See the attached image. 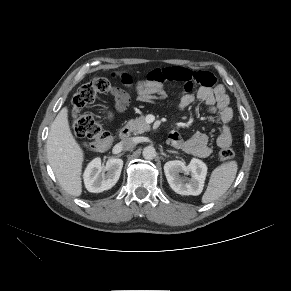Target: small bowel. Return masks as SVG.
<instances>
[{"mask_svg":"<svg viewBox=\"0 0 291 291\" xmlns=\"http://www.w3.org/2000/svg\"><path fill=\"white\" fill-rule=\"evenodd\" d=\"M122 79L131 83V77L122 75ZM175 81L182 83V94L176 104L181 111L195 100L205 104L208 114L217 115L221 122V130L216 139L219 147L229 146L232 142L230 123L233 119V111L229 106V97L221 84H216L214 76L207 71L192 72L184 67L156 68L147 75V80L136 85L138 100L141 102L159 100L166 97L164 83ZM115 100L117 111H124L129 103V94L119 88L111 92ZM171 143L183 151L198 156L207 157L211 153L209 137L207 134L197 132L188 139H183L178 131H172L169 135Z\"/></svg>","mask_w":291,"mask_h":291,"instance_id":"c3829d8e","label":"small bowel"}]
</instances>
